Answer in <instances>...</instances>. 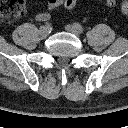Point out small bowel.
I'll return each mask as SVG.
<instances>
[{"mask_svg": "<svg viewBox=\"0 0 128 128\" xmlns=\"http://www.w3.org/2000/svg\"><path fill=\"white\" fill-rule=\"evenodd\" d=\"M63 4V0H48V9L54 10ZM37 21L45 22L50 19V13L48 11L39 12L35 16Z\"/></svg>", "mask_w": 128, "mask_h": 128, "instance_id": "obj_1", "label": "small bowel"}]
</instances>
